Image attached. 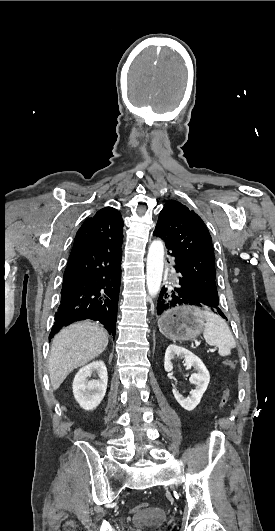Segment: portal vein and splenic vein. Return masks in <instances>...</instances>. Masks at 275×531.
Instances as JSON below:
<instances>
[{
	"instance_id": "1",
	"label": "portal vein and splenic vein",
	"mask_w": 275,
	"mask_h": 531,
	"mask_svg": "<svg viewBox=\"0 0 275 531\" xmlns=\"http://www.w3.org/2000/svg\"><path fill=\"white\" fill-rule=\"evenodd\" d=\"M194 344H196V346H201V343H199L198 339H194ZM215 351V348H210V353H214Z\"/></svg>"
}]
</instances>
